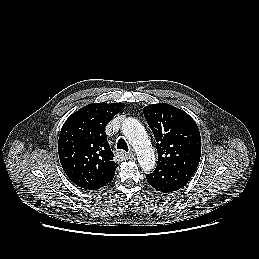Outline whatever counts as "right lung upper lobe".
<instances>
[{"label": "right lung upper lobe", "instance_id": "1", "mask_svg": "<svg viewBox=\"0 0 259 259\" xmlns=\"http://www.w3.org/2000/svg\"><path fill=\"white\" fill-rule=\"evenodd\" d=\"M124 107L123 103H92L65 121L58 153L63 170L77 186L90 189L115 174L118 164L113 161L105 127Z\"/></svg>", "mask_w": 259, "mask_h": 259}]
</instances>
